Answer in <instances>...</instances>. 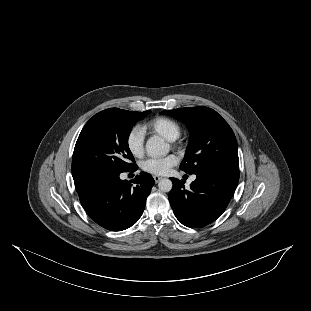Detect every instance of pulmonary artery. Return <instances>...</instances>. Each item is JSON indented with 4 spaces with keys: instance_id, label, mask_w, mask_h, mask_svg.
<instances>
[{
    "instance_id": "obj_1",
    "label": "pulmonary artery",
    "mask_w": 311,
    "mask_h": 311,
    "mask_svg": "<svg viewBox=\"0 0 311 311\" xmlns=\"http://www.w3.org/2000/svg\"><path fill=\"white\" fill-rule=\"evenodd\" d=\"M195 180V176H193L192 178H191V181H194Z\"/></svg>"
}]
</instances>
